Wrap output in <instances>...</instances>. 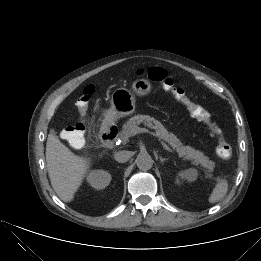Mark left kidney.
Listing matches in <instances>:
<instances>
[{
  "mask_svg": "<svg viewBox=\"0 0 261 261\" xmlns=\"http://www.w3.org/2000/svg\"><path fill=\"white\" fill-rule=\"evenodd\" d=\"M198 177V172L196 169L194 168H190L187 169L186 171H183L181 173H179L177 179H176V183L180 184V179H186L190 182L195 181Z\"/></svg>",
  "mask_w": 261,
  "mask_h": 261,
  "instance_id": "obj_1",
  "label": "left kidney"
}]
</instances>
